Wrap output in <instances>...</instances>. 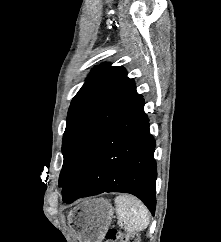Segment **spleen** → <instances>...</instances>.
Here are the masks:
<instances>
[{
    "mask_svg": "<svg viewBox=\"0 0 221 242\" xmlns=\"http://www.w3.org/2000/svg\"><path fill=\"white\" fill-rule=\"evenodd\" d=\"M116 214L123 221L124 229L128 233L141 232L149 224L148 210L136 197L119 195L115 198Z\"/></svg>",
    "mask_w": 221,
    "mask_h": 242,
    "instance_id": "spleen-1",
    "label": "spleen"
}]
</instances>
